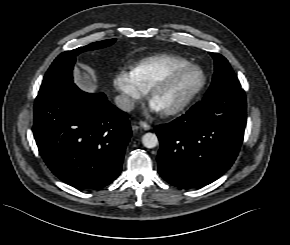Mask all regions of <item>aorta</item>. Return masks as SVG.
Listing matches in <instances>:
<instances>
[{"label":"aorta","mask_w":290,"mask_h":245,"mask_svg":"<svg viewBox=\"0 0 290 245\" xmlns=\"http://www.w3.org/2000/svg\"><path fill=\"white\" fill-rule=\"evenodd\" d=\"M142 144L146 148H154L158 145V138L154 133H146L142 136Z\"/></svg>","instance_id":"aorta-1"}]
</instances>
